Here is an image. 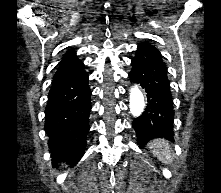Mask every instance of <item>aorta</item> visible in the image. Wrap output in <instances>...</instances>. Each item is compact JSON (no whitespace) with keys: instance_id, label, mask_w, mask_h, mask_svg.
Wrapping results in <instances>:
<instances>
[{"instance_id":"aorta-1","label":"aorta","mask_w":221,"mask_h":193,"mask_svg":"<svg viewBox=\"0 0 221 193\" xmlns=\"http://www.w3.org/2000/svg\"><path fill=\"white\" fill-rule=\"evenodd\" d=\"M129 106L130 112L134 116H139L144 111V95L137 86H133L130 90Z\"/></svg>"}]
</instances>
